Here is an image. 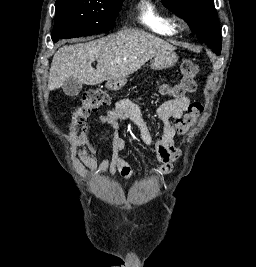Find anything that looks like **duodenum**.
I'll return each mask as SVG.
<instances>
[{"mask_svg": "<svg viewBox=\"0 0 256 267\" xmlns=\"http://www.w3.org/2000/svg\"><path fill=\"white\" fill-rule=\"evenodd\" d=\"M127 85L128 77L109 78L108 83H104V88L106 90H117V88H122V86Z\"/></svg>", "mask_w": 256, "mask_h": 267, "instance_id": "duodenum-1", "label": "duodenum"}]
</instances>
